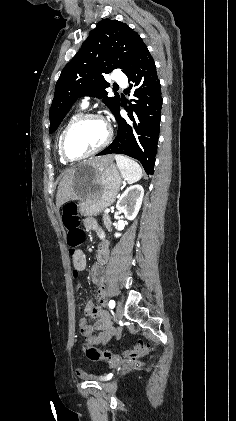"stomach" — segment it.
I'll return each mask as SVG.
<instances>
[{"label":"stomach","mask_w":236,"mask_h":421,"mask_svg":"<svg viewBox=\"0 0 236 421\" xmlns=\"http://www.w3.org/2000/svg\"><path fill=\"white\" fill-rule=\"evenodd\" d=\"M122 184L115 164L96 166L88 160L75 168V190L78 211L82 217H97L114 202Z\"/></svg>","instance_id":"1"}]
</instances>
